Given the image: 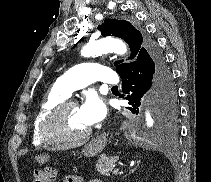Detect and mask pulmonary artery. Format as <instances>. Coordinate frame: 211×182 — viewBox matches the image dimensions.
<instances>
[{"label": "pulmonary artery", "instance_id": "obj_1", "mask_svg": "<svg viewBox=\"0 0 211 182\" xmlns=\"http://www.w3.org/2000/svg\"><path fill=\"white\" fill-rule=\"evenodd\" d=\"M95 81H103L112 85L119 83L118 77L111 68L97 63H82L65 72L57 79L54 86L66 97H69L73 91Z\"/></svg>", "mask_w": 211, "mask_h": 182}]
</instances>
